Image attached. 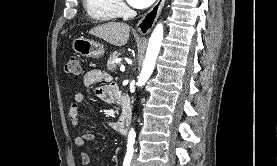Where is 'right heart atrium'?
<instances>
[{
  "instance_id": "obj_1",
  "label": "right heart atrium",
  "mask_w": 277,
  "mask_h": 166,
  "mask_svg": "<svg viewBox=\"0 0 277 166\" xmlns=\"http://www.w3.org/2000/svg\"><path fill=\"white\" fill-rule=\"evenodd\" d=\"M118 7H119L120 9H124V5H123L122 3H119V4H118Z\"/></svg>"
}]
</instances>
